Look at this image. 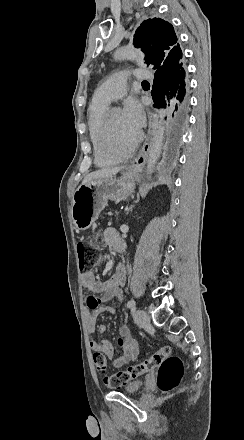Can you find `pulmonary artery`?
<instances>
[{
  "label": "pulmonary artery",
  "instance_id": "1",
  "mask_svg": "<svg viewBox=\"0 0 244 440\" xmlns=\"http://www.w3.org/2000/svg\"><path fill=\"white\" fill-rule=\"evenodd\" d=\"M111 75L110 82H102L101 90H94L93 101L110 104L115 99H120L124 95L126 88V78L123 71L116 70ZM138 78H147L149 71L147 69H138L136 72Z\"/></svg>",
  "mask_w": 244,
  "mask_h": 440
}]
</instances>
